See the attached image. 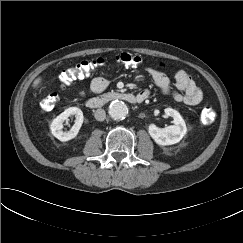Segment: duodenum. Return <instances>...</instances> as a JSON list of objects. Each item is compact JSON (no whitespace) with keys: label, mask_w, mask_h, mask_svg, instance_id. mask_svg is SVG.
<instances>
[{"label":"duodenum","mask_w":243,"mask_h":243,"mask_svg":"<svg viewBox=\"0 0 243 243\" xmlns=\"http://www.w3.org/2000/svg\"><path fill=\"white\" fill-rule=\"evenodd\" d=\"M116 99L123 100L128 103H141L145 100V98L139 94L135 95L126 92H111L104 96L90 98L85 104L90 109H98L106 103Z\"/></svg>","instance_id":"duodenum-1"}]
</instances>
